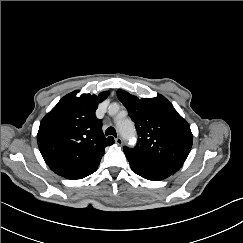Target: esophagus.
Returning <instances> with one entry per match:
<instances>
[{"instance_id": "34e87169", "label": "esophagus", "mask_w": 243, "mask_h": 243, "mask_svg": "<svg viewBox=\"0 0 243 243\" xmlns=\"http://www.w3.org/2000/svg\"><path fill=\"white\" fill-rule=\"evenodd\" d=\"M115 142H116L117 145H121V144L123 143V140H122L121 137H117V138L115 139Z\"/></svg>"}]
</instances>
